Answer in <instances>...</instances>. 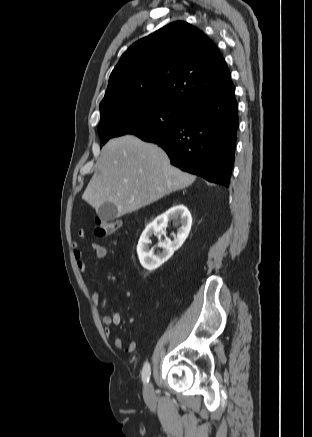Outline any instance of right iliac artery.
<instances>
[{
	"label": "right iliac artery",
	"mask_w": 312,
	"mask_h": 437,
	"mask_svg": "<svg viewBox=\"0 0 312 437\" xmlns=\"http://www.w3.org/2000/svg\"><path fill=\"white\" fill-rule=\"evenodd\" d=\"M150 374H151L150 364L146 362L142 369V381L144 384H147L149 382Z\"/></svg>",
	"instance_id": "1"
}]
</instances>
